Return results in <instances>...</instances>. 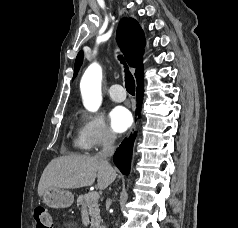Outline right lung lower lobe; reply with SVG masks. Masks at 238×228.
<instances>
[{"mask_svg":"<svg viewBox=\"0 0 238 228\" xmlns=\"http://www.w3.org/2000/svg\"><path fill=\"white\" fill-rule=\"evenodd\" d=\"M144 94V83L143 78L137 82V110L136 112L139 114L141 105H142V99ZM134 137L131 139H125L119 148H117L114 156L113 161L115 165L119 168V170L122 172V174L127 175L130 170V161H131V154H132V145H133Z\"/></svg>","mask_w":238,"mask_h":228,"instance_id":"obj_1","label":"right lung lower lobe"}]
</instances>
